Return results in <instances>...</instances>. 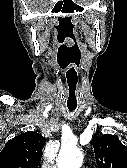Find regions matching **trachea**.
I'll return each mask as SVG.
<instances>
[{
	"mask_svg": "<svg viewBox=\"0 0 127 168\" xmlns=\"http://www.w3.org/2000/svg\"><path fill=\"white\" fill-rule=\"evenodd\" d=\"M70 112H73L76 109V106H68Z\"/></svg>",
	"mask_w": 127,
	"mask_h": 168,
	"instance_id": "obj_1",
	"label": "trachea"
}]
</instances>
